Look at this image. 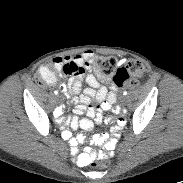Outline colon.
I'll use <instances>...</instances> for the list:
<instances>
[{
	"mask_svg": "<svg viewBox=\"0 0 183 183\" xmlns=\"http://www.w3.org/2000/svg\"><path fill=\"white\" fill-rule=\"evenodd\" d=\"M97 70L104 76H112V80L118 88H135L146 75V67L139 61H118L114 56L99 57L96 61ZM76 71L73 65H65L61 71L53 68L39 70L37 80L41 84H50L56 73L67 75ZM107 161H97L93 158L88 159L87 166L94 170L97 167H105Z\"/></svg>",
	"mask_w": 183,
	"mask_h": 183,
	"instance_id": "obj_1",
	"label": "colon"
}]
</instances>
